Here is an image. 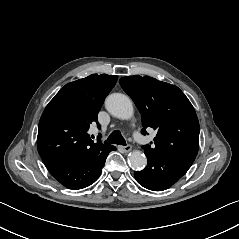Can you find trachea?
<instances>
[{
    "instance_id": "trachea-1",
    "label": "trachea",
    "mask_w": 239,
    "mask_h": 239,
    "mask_svg": "<svg viewBox=\"0 0 239 239\" xmlns=\"http://www.w3.org/2000/svg\"><path fill=\"white\" fill-rule=\"evenodd\" d=\"M106 143L126 146V141L119 130L113 131L107 138Z\"/></svg>"
}]
</instances>
